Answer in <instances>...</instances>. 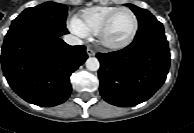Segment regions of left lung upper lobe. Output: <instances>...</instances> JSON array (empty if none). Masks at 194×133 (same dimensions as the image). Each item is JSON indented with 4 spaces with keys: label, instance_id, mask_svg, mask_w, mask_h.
Returning a JSON list of instances; mask_svg holds the SVG:
<instances>
[{
    "label": "left lung upper lobe",
    "instance_id": "left-lung-upper-lobe-1",
    "mask_svg": "<svg viewBox=\"0 0 194 133\" xmlns=\"http://www.w3.org/2000/svg\"><path fill=\"white\" fill-rule=\"evenodd\" d=\"M129 6L138 18L139 27L156 21L157 19L146 9L139 8L133 4H125Z\"/></svg>",
    "mask_w": 194,
    "mask_h": 133
}]
</instances>
